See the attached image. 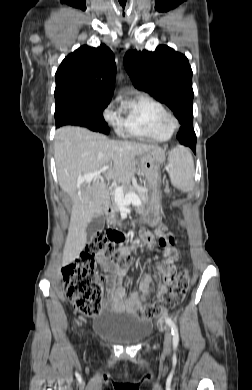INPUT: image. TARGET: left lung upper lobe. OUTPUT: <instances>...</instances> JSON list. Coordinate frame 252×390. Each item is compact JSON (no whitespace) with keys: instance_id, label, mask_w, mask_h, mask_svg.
<instances>
[{"instance_id":"5c2ea615","label":"left lung upper lobe","mask_w":252,"mask_h":390,"mask_svg":"<svg viewBox=\"0 0 252 390\" xmlns=\"http://www.w3.org/2000/svg\"><path fill=\"white\" fill-rule=\"evenodd\" d=\"M124 65L133 85L166 104L181 124L193 123L192 69L185 55L166 45L130 50Z\"/></svg>"}]
</instances>
